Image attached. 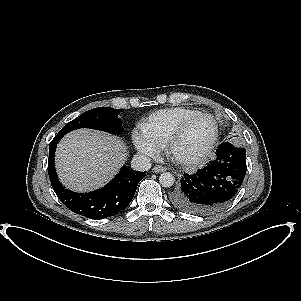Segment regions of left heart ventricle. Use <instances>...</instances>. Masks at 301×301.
<instances>
[{
	"instance_id": "1",
	"label": "left heart ventricle",
	"mask_w": 301,
	"mask_h": 301,
	"mask_svg": "<svg viewBox=\"0 0 301 301\" xmlns=\"http://www.w3.org/2000/svg\"><path fill=\"white\" fill-rule=\"evenodd\" d=\"M214 131V124L210 119L201 118L192 123L183 138L175 147L180 157H194L209 143Z\"/></svg>"
}]
</instances>
